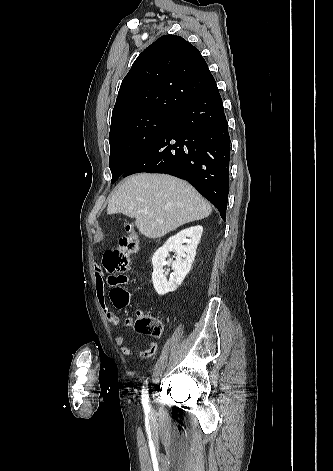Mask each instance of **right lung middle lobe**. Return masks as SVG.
<instances>
[{"label":"right lung middle lobe","mask_w":333,"mask_h":471,"mask_svg":"<svg viewBox=\"0 0 333 471\" xmlns=\"http://www.w3.org/2000/svg\"><path fill=\"white\" fill-rule=\"evenodd\" d=\"M175 114L145 111L124 116L111 123L109 167L112 183L127 170L138 155L173 122Z\"/></svg>","instance_id":"dd1d6c3e"}]
</instances>
